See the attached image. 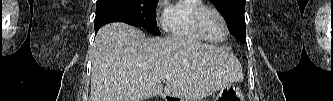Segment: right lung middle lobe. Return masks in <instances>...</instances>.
I'll use <instances>...</instances> for the list:
<instances>
[{
  "instance_id": "obj_1",
  "label": "right lung middle lobe",
  "mask_w": 333,
  "mask_h": 101,
  "mask_svg": "<svg viewBox=\"0 0 333 101\" xmlns=\"http://www.w3.org/2000/svg\"><path fill=\"white\" fill-rule=\"evenodd\" d=\"M102 0H97V4ZM159 0H118L134 19L135 26L143 27L154 35H160L155 17L156 4Z\"/></svg>"
}]
</instances>
